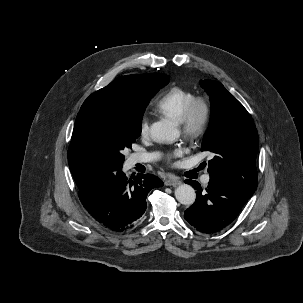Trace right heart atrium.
I'll return each mask as SVG.
<instances>
[{"label": "right heart atrium", "mask_w": 303, "mask_h": 303, "mask_svg": "<svg viewBox=\"0 0 303 303\" xmlns=\"http://www.w3.org/2000/svg\"><path fill=\"white\" fill-rule=\"evenodd\" d=\"M139 133L142 137H146L149 134V120L146 116H143L140 120Z\"/></svg>", "instance_id": "right-heart-atrium-1"}]
</instances>
